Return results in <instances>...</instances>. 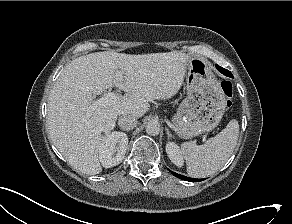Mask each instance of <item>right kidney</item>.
I'll use <instances>...</instances> for the list:
<instances>
[{
    "mask_svg": "<svg viewBox=\"0 0 292 224\" xmlns=\"http://www.w3.org/2000/svg\"><path fill=\"white\" fill-rule=\"evenodd\" d=\"M128 148V137L123 132H112L104 137L99 148V160L103 167H114L122 162Z\"/></svg>",
    "mask_w": 292,
    "mask_h": 224,
    "instance_id": "1",
    "label": "right kidney"
}]
</instances>
